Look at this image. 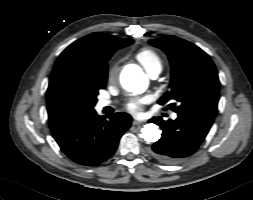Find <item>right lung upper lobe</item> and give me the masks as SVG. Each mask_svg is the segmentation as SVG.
I'll return each mask as SVG.
<instances>
[{
    "label": "right lung upper lobe",
    "instance_id": "right-lung-upper-lobe-1",
    "mask_svg": "<svg viewBox=\"0 0 253 200\" xmlns=\"http://www.w3.org/2000/svg\"><path fill=\"white\" fill-rule=\"evenodd\" d=\"M132 43L131 39L96 32L68 46L58 57L50 77L47 89L49 121L79 115L65 103L62 97L61 88L65 74L76 71L105 76L107 79L109 58L118 49Z\"/></svg>",
    "mask_w": 253,
    "mask_h": 200
}]
</instances>
